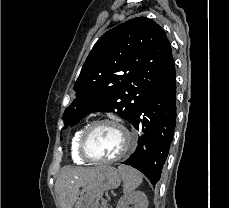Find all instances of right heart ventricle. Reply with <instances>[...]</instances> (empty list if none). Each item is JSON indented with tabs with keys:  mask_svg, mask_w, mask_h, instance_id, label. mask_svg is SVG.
Listing matches in <instances>:
<instances>
[{
	"mask_svg": "<svg viewBox=\"0 0 229 208\" xmlns=\"http://www.w3.org/2000/svg\"><path fill=\"white\" fill-rule=\"evenodd\" d=\"M87 126L88 124H85L78 128L70 139V157L71 160L77 165H87L90 163V161L86 158H80V153H78V144L80 143L81 135Z\"/></svg>",
	"mask_w": 229,
	"mask_h": 208,
	"instance_id": "1",
	"label": "right heart ventricle"
}]
</instances>
